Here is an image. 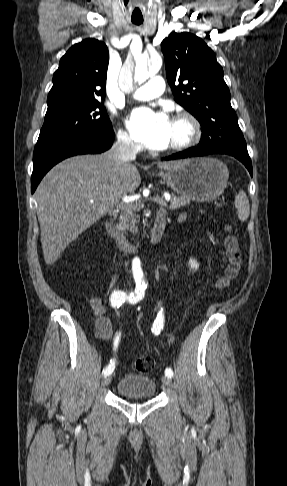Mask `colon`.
<instances>
[{"label": "colon", "instance_id": "5ec220e1", "mask_svg": "<svg viewBox=\"0 0 287 486\" xmlns=\"http://www.w3.org/2000/svg\"><path fill=\"white\" fill-rule=\"evenodd\" d=\"M225 254L228 261L223 277L218 281V285L223 287L235 279L241 270L242 255L239 248L238 240L235 236L229 234L224 240ZM155 362L149 356L139 357L135 361V368L141 373L151 372Z\"/></svg>", "mask_w": 287, "mask_h": 486}]
</instances>
